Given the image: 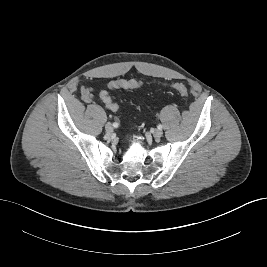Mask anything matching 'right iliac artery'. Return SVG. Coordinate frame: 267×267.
Segmentation results:
<instances>
[{
	"mask_svg": "<svg viewBox=\"0 0 267 267\" xmlns=\"http://www.w3.org/2000/svg\"><path fill=\"white\" fill-rule=\"evenodd\" d=\"M113 126H114L115 128H117V127H118V123H117V122L113 123Z\"/></svg>",
	"mask_w": 267,
	"mask_h": 267,
	"instance_id": "right-iliac-artery-1",
	"label": "right iliac artery"
}]
</instances>
